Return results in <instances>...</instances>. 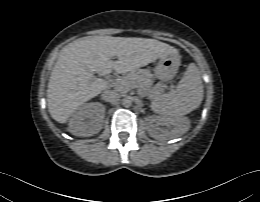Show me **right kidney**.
<instances>
[{
	"label": "right kidney",
	"instance_id": "1",
	"mask_svg": "<svg viewBox=\"0 0 260 202\" xmlns=\"http://www.w3.org/2000/svg\"><path fill=\"white\" fill-rule=\"evenodd\" d=\"M105 107L98 102L81 106L70 118L68 130L75 136L89 137L102 129Z\"/></svg>",
	"mask_w": 260,
	"mask_h": 202
}]
</instances>
